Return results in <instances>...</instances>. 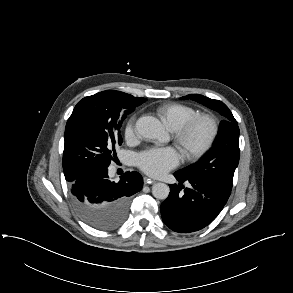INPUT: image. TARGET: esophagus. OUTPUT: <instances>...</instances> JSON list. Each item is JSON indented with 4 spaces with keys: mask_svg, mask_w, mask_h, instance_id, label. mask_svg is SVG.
Instances as JSON below:
<instances>
[{
    "mask_svg": "<svg viewBox=\"0 0 293 293\" xmlns=\"http://www.w3.org/2000/svg\"><path fill=\"white\" fill-rule=\"evenodd\" d=\"M144 181H145V184H153L156 182L154 179L149 177H145Z\"/></svg>",
    "mask_w": 293,
    "mask_h": 293,
    "instance_id": "esophagus-1",
    "label": "esophagus"
}]
</instances>
